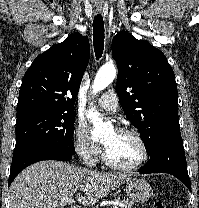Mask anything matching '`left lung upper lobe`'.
<instances>
[{"instance_id": "left-lung-upper-lobe-1", "label": "left lung upper lobe", "mask_w": 199, "mask_h": 208, "mask_svg": "<svg viewBox=\"0 0 199 208\" xmlns=\"http://www.w3.org/2000/svg\"><path fill=\"white\" fill-rule=\"evenodd\" d=\"M112 53L120 104L149 153L163 136L180 131L174 72L160 50L128 32L114 36Z\"/></svg>"}]
</instances>
